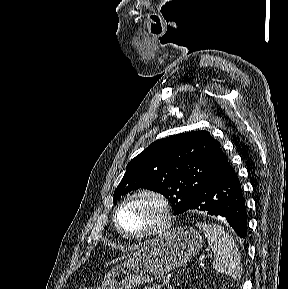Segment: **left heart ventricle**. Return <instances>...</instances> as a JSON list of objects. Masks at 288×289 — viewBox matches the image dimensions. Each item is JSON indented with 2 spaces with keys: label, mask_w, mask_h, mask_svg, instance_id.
Instances as JSON below:
<instances>
[{
  "label": "left heart ventricle",
  "mask_w": 288,
  "mask_h": 289,
  "mask_svg": "<svg viewBox=\"0 0 288 289\" xmlns=\"http://www.w3.org/2000/svg\"><path fill=\"white\" fill-rule=\"evenodd\" d=\"M160 218L159 204L152 198L139 197L123 208L120 223L125 231L139 233L156 226Z\"/></svg>",
  "instance_id": "left-heart-ventricle-1"
}]
</instances>
